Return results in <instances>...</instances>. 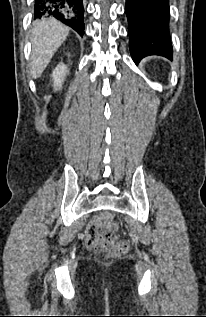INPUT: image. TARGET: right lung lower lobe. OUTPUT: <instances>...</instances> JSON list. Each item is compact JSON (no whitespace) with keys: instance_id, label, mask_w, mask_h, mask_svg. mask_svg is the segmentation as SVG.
<instances>
[{"instance_id":"98d812e1","label":"right lung lower lobe","mask_w":206,"mask_h":317,"mask_svg":"<svg viewBox=\"0 0 206 317\" xmlns=\"http://www.w3.org/2000/svg\"><path fill=\"white\" fill-rule=\"evenodd\" d=\"M46 15H53L83 36L85 28L83 0H35L34 19Z\"/></svg>"}]
</instances>
